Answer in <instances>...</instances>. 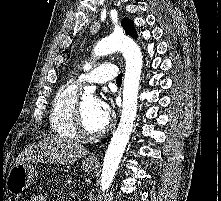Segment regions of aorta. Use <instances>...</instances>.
<instances>
[{"label": "aorta", "mask_w": 221, "mask_h": 201, "mask_svg": "<svg viewBox=\"0 0 221 201\" xmlns=\"http://www.w3.org/2000/svg\"><path fill=\"white\" fill-rule=\"evenodd\" d=\"M115 51L122 52L126 60L123 84L122 114L117 130L113 134L103 160L101 189L107 190L115 177L125 148L129 142L137 113L138 90L142 69V54L138 45L128 36L112 34L97 43L94 55L105 56ZM91 66L86 64L85 70ZM87 89V87H86Z\"/></svg>", "instance_id": "762f6f07"}]
</instances>
